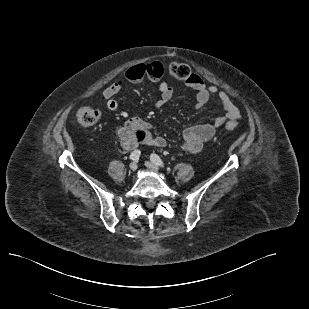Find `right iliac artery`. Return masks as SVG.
<instances>
[{"mask_svg":"<svg viewBox=\"0 0 309 309\" xmlns=\"http://www.w3.org/2000/svg\"><path fill=\"white\" fill-rule=\"evenodd\" d=\"M140 155H141L140 150H134V151L130 154V157H129V158H130V160L136 161V160L139 159Z\"/></svg>","mask_w":309,"mask_h":309,"instance_id":"82829eb1","label":"right iliac artery"}]
</instances>
